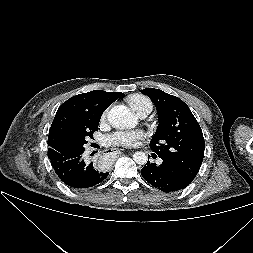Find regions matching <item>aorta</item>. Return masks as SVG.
<instances>
[{
    "mask_svg": "<svg viewBox=\"0 0 253 253\" xmlns=\"http://www.w3.org/2000/svg\"><path fill=\"white\" fill-rule=\"evenodd\" d=\"M107 118L109 123L118 129L132 128L137 124V118L123 105L112 107ZM133 160L139 165H144L148 157L146 153L137 151L133 154Z\"/></svg>",
    "mask_w": 253,
    "mask_h": 253,
    "instance_id": "aorta-1",
    "label": "aorta"
}]
</instances>
